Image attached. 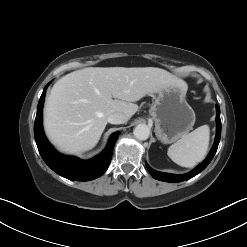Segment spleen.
<instances>
[{"label":"spleen","instance_id":"1","mask_svg":"<svg viewBox=\"0 0 247 247\" xmlns=\"http://www.w3.org/2000/svg\"><path fill=\"white\" fill-rule=\"evenodd\" d=\"M210 129L203 125L183 135L168 148V156L182 167H193L203 160L209 145Z\"/></svg>","mask_w":247,"mask_h":247}]
</instances>
